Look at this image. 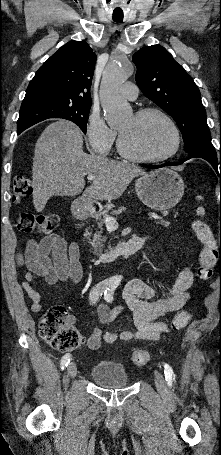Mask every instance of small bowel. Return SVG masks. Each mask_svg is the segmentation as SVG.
Instances as JSON below:
<instances>
[{"label":"small bowel","instance_id":"c3829d8e","mask_svg":"<svg viewBox=\"0 0 221 455\" xmlns=\"http://www.w3.org/2000/svg\"><path fill=\"white\" fill-rule=\"evenodd\" d=\"M141 238L145 242L148 240V237ZM19 262L27 268L21 286L35 311L41 309V296L32 285L37 278H42L49 285L64 282L77 285L82 279L79 245L76 242L67 245L58 234L47 235L40 241L29 240ZM193 282V272L184 268L172 287L160 295L141 279L129 280L123 289L125 304L109 308L101 302L97 306V315L102 325L110 326L127 308L132 313L134 328L120 333L96 328L88 338V347L97 349L102 341L113 344L117 340H159L170 331L168 324L161 319L185 306Z\"/></svg>","mask_w":221,"mask_h":455}]
</instances>
